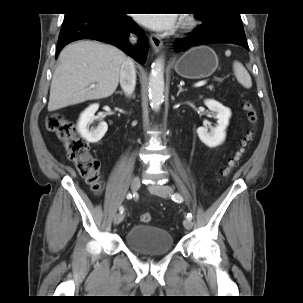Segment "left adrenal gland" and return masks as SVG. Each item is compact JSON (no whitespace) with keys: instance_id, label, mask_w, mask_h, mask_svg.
<instances>
[{"instance_id":"left-adrenal-gland-1","label":"left adrenal gland","mask_w":303,"mask_h":303,"mask_svg":"<svg viewBox=\"0 0 303 303\" xmlns=\"http://www.w3.org/2000/svg\"><path fill=\"white\" fill-rule=\"evenodd\" d=\"M178 89H179V91H178V93H177V96H178L182 91H186V90H184V89L182 88L181 85H178Z\"/></svg>"}]
</instances>
